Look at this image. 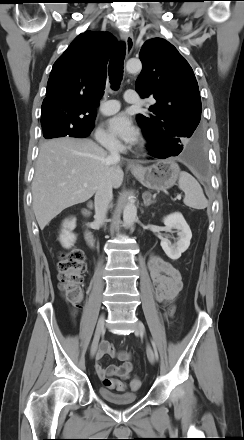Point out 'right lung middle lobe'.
I'll return each mask as SVG.
<instances>
[{
    "label": "right lung middle lobe",
    "instance_id": "right-lung-middle-lobe-1",
    "mask_svg": "<svg viewBox=\"0 0 244 440\" xmlns=\"http://www.w3.org/2000/svg\"><path fill=\"white\" fill-rule=\"evenodd\" d=\"M41 126L43 130V136L46 139L57 138V137H87L94 126V121L81 126H75L67 121L60 120H46L41 121Z\"/></svg>",
    "mask_w": 244,
    "mask_h": 440
}]
</instances>
